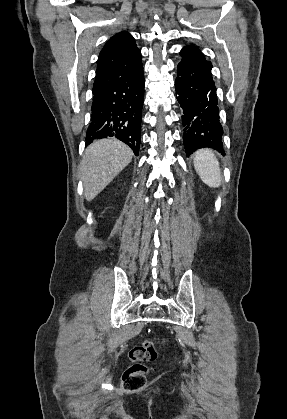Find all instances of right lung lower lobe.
<instances>
[{"mask_svg": "<svg viewBox=\"0 0 287 419\" xmlns=\"http://www.w3.org/2000/svg\"><path fill=\"white\" fill-rule=\"evenodd\" d=\"M93 95L86 145L95 139L114 137L139 155L144 101L143 65L131 75L93 90Z\"/></svg>", "mask_w": 287, "mask_h": 419, "instance_id": "1", "label": "right lung lower lobe"}]
</instances>
